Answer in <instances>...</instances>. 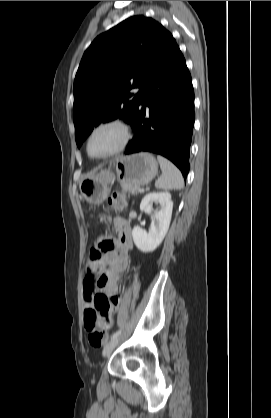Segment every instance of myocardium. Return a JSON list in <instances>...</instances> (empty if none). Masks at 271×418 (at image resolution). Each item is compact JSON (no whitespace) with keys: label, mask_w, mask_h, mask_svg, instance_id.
I'll use <instances>...</instances> for the list:
<instances>
[{"label":"myocardium","mask_w":271,"mask_h":418,"mask_svg":"<svg viewBox=\"0 0 271 418\" xmlns=\"http://www.w3.org/2000/svg\"><path fill=\"white\" fill-rule=\"evenodd\" d=\"M109 127L116 128L120 131V134H121L120 142L118 143L116 147H114L113 149H111L110 151L106 153H103L100 155L92 154L90 150V144H91V140L93 136L98 131L104 128H109ZM130 138H131V129L125 121L121 119H107V120L101 121L93 126V128L89 131L86 137L85 147H86L87 155L94 159H105V158L112 157L114 155L121 153L127 147L130 141Z\"/></svg>","instance_id":"myocardium-1"}]
</instances>
